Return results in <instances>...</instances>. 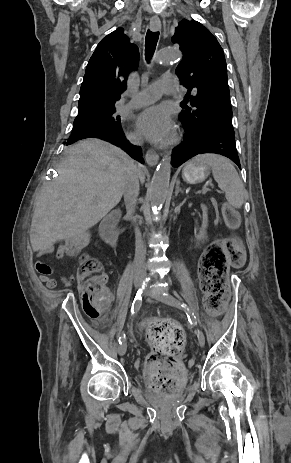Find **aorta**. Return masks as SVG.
Here are the masks:
<instances>
[{
    "label": "aorta",
    "mask_w": 291,
    "mask_h": 463,
    "mask_svg": "<svg viewBox=\"0 0 291 463\" xmlns=\"http://www.w3.org/2000/svg\"><path fill=\"white\" fill-rule=\"evenodd\" d=\"M181 58V52L173 47H166L157 53L156 63L166 65ZM171 174V158L165 156L157 166L149 188V200L154 210L160 209L164 204L169 190Z\"/></svg>",
    "instance_id": "1"
}]
</instances>
